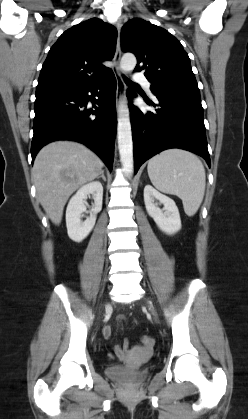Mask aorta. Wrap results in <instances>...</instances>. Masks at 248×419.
<instances>
[{
    "label": "aorta",
    "instance_id": "1",
    "mask_svg": "<svg viewBox=\"0 0 248 419\" xmlns=\"http://www.w3.org/2000/svg\"><path fill=\"white\" fill-rule=\"evenodd\" d=\"M137 60L134 54L125 53L120 61V68L125 71H132ZM117 138L120 154V161L127 176L133 172V142L130 123V112L127 104L122 101L117 111Z\"/></svg>",
    "mask_w": 248,
    "mask_h": 419
}]
</instances>
